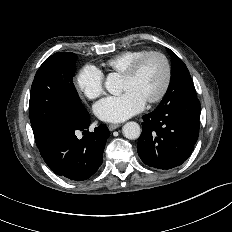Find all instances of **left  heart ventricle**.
<instances>
[{"mask_svg": "<svg viewBox=\"0 0 232 232\" xmlns=\"http://www.w3.org/2000/svg\"><path fill=\"white\" fill-rule=\"evenodd\" d=\"M164 81V66L157 57L148 58L132 78L123 77L122 90H133L145 101L155 96Z\"/></svg>", "mask_w": 232, "mask_h": 232, "instance_id": "1", "label": "left heart ventricle"}]
</instances>
